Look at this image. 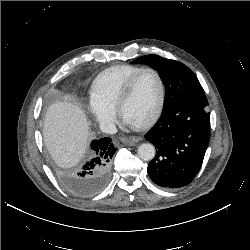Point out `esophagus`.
I'll return each mask as SVG.
<instances>
[{
	"label": "esophagus",
	"mask_w": 250,
	"mask_h": 250,
	"mask_svg": "<svg viewBox=\"0 0 250 250\" xmlns=\"http://www.w3.org/2000/svg\"><path fill=\"white\" fill-rule=\"evenodd\" d=\"M139 138L138 137H124L121 139V141L125 144H128L130 146L135 145L137 142H139Z\"/></svg>",
	"instance_id": "obj_1"
}]
</instances>
